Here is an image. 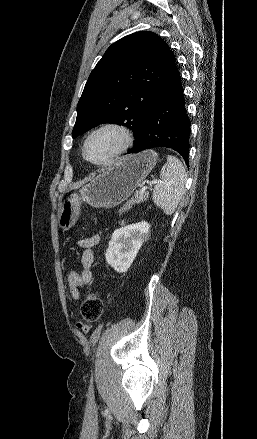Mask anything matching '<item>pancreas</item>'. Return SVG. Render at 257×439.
<instances>
[{"instance_id": "pancreas-1", "label": "pancreas", "mask_w": 257, "mask_h": 439, "mask_svg": "<svg viewBox=\"0 0 257 439\" xmlns=\"http://www.w3.org/2000/svg\"><path fill=\"white\" fill-rule=\"evenodd\" d=\"M149 194L147 192L141 194L136 193L129 201H127L122 208L119 210V213H125L131 209L134 204H139L141 202H145L148 200Z\"/></svg>"}]
</instances>
